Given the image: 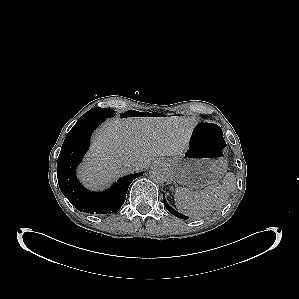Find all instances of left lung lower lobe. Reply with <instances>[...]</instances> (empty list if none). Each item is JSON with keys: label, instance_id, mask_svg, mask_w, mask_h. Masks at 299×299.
<instances>
[{"label": "left lung lower lobe", "instance_id": "0a47b994", "mask_svg": "<svg viewBox=\"0 0 299 299\" xmlns=\"http://www.w3.org/2000/svg\"><path fill=\"white\" fill-rule=\"evenodd\" d=\"M163 200H164V205H165V207L167 208V210H168L169 212H171L174 216H176V217H178V218H180V219H187V218H188L187 216H185V215H183V214H181V213L175 211L172 207H170L169 204L167 203V201L165 200V197H164V196H163Z\"/></svg>", "mask_w": 299, "mask_h": 299}]
</instances>
